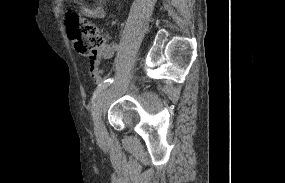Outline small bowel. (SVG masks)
Masks as SVG:
<instances>
[{
	"mask_svg": "<svg viewBox=\"0 0 285 183\" xmlns=\"http://www.w3.org/2000/svg\"><path fill=\"white\" fill-rule=\"evenodd\" d=\"M105 0H98V3L89 7L86 4L82 5V13L94 20H103L106 18V11L103 6ZM119 47L116 44H105L98 51L95 58L91 59L89 74L95 83H102L104 79V71L99 66V63L103 59H111L115 57L118 53Z\"/></svg>",
	"mask_w": 285,
	"mask_h": 183,
	"instance_id": "c3829d8e",
	"label": "small bowel"
}]
</instances>
